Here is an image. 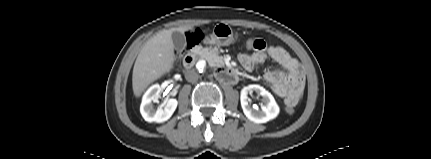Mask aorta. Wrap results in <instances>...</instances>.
Segmentation results:
<instances>
[{
    "instance_id": "aorta-1",
    "label": "aorta",
    "mask_w": 431,
    "mask_h": 159,
    "mask_svg": "<svg viewBox=\"0 0 431 159\" xmlns=\"http://www.w3.org/2000/svg\"><path fill=\"white\" fill-rule=\"evenodd\" d=\"M196 67L201 73H204L207 70V65L203 62H198Z\"/></svg>"
}]
</instances>
